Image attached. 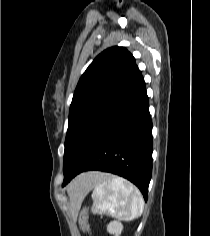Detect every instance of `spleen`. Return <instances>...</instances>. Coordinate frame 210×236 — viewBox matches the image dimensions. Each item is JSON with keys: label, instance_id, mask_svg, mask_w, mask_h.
I'll return each instance as SVG.
<instances>
[{"label": "spleen", "instance_id": "3e777b00", "mask_svg": "<svg viewBox=\"0 0 210 236\" xmlns=\"http://www.w3.org/2000/svg\"><path fill=\"white\" fill-rule=\"evenodd\" d=\"M93 188V213H107L123 221L138 218L144 209L140 191L129 181L104 174L89 184Z\"/></svg>", "mask_w": 210, "mask_h": 236}]
</instances>
